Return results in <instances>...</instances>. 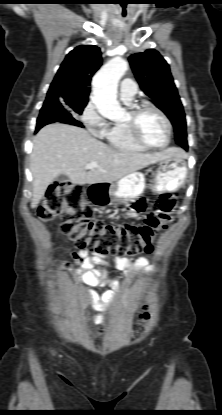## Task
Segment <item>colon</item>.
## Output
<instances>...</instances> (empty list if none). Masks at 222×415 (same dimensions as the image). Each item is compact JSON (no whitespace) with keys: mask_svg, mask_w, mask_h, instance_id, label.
Segmentation results:
<instances>
[{"mask_svg":"<svg viewBox=\"0 0 222 415\" xmlns=\"http://www.w3.org/2000/svg\"><path fill=\"white\" fill-rule=\"evenodd\" d=\"M157 209L148 213L141 224L111 225L92 219V211L83 201V188L67 181L52 184L39 207L38 216L43 221L61 219V231L75 245L99 255L135 256L150 253L152 243L172 219L175 203L163 193ZM139 205L145 207V202ZM141 319L147 318L144 311Z\"/></svg>","mask_w":222,"mask_h":415,"instance_id":"colon-1","label":"colon"}]
</instances>
